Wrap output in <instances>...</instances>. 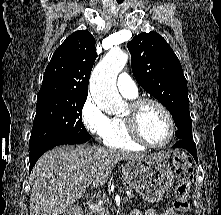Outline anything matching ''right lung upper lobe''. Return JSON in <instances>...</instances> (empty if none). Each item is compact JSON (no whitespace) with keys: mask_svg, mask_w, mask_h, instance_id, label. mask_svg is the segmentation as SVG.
<instances>
[{"mask_svg":"<svg viewBox=\"0 0 221 215\" xmlns=\"http://www.w3.org/2000/svg\"><path fill=\"white\" fill-rule=\"evenodd\" d=\"M95 59L93 35L86 30L71 34L47 65L37 102L55 97H87Z\"/></svg>","mask_w":221,"mask_h":215,"instance_id":"1","label":"right lung upper lobe"}]
</instances>
